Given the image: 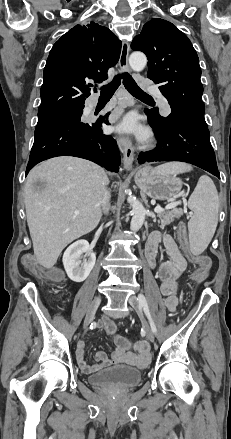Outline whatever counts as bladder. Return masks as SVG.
Here are the masks:
<instances>
[{"instance_id":"31cf9c89","label":"bladder","mask_w":231,"mask_h":439,"mask_svg":"<svg viewBox=\"0 0 231 439\" xmlns=\"http://www.w3.org/2000/svg\"><path fill=\"white\" fill-rule=\"evenodd\" d=\"M142 380V374L137 368L119 365L94 373L88 377L91 385L115 389H130Z\"/></svg>"}]
</instances>
